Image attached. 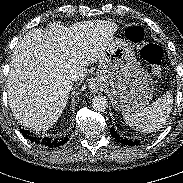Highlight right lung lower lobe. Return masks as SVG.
<instances>
[{
	"label": "right lung lower lobe",
	"instance_id": "1",
	"mask_svg": "<svg viewBox=\"0 0 183 183\" xmlns=\"http://www.w3.org/2000/svg\"><path fill=\"white\" fill-rule=\"evenodd\" d=\"M20 132L30 141L36 143L37 145H41L49 148H56L63 146L68 140V137L52 139L50 137H41L33 134L29 130L20 129Z\"/></svg>",
	"mask_w": 183,
	"mask_h": 183
}]
</instances>
